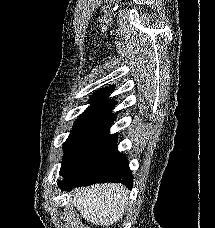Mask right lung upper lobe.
<instances>
[{
  "instance_id": "obj_1",
  "label": "right lung upper lobe",
  "mask_w": 215,
  "mask_h": 228,
  "mask_svg": "<svg viewBox=\"0 0 215 228\" xmlns=\"http://www.w3.org/2000/svg\"><path fill=\"white\" fill-rule=\"evenodd\" d=\"M112 90L113 89L111 87H108L95 92L94 96L89 100L91 105L76 120L73 128L97 122L112 123L115 120L112 116V109L117 103L116 101L108 98Z\"/></svg>"
}]
</instances>
